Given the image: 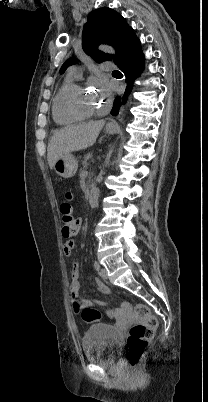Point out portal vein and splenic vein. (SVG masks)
Here are the masks:
<instances>
[{
    "mask_svg": "<svg viewBox=\"0 0 208 402\" xmlns=\"http://www.w3.org/2000/svg\"><path fill=\"white\" fill-rule=\"evenodd\" d=\"M89 157H93V154H89ZM82 164H83L84 167H89L90 166V163H89L88 160H83Z\"/></svg>",
    "mask_w": 208,
    "mask_h": 402,
    "instance_id": "18ae733b",
    "label": "portal vein and splenic vein"
}]
</instances>
